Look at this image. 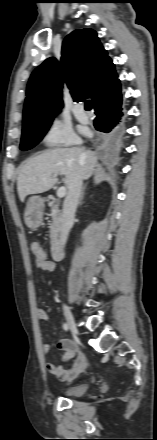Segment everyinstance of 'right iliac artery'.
<instances>
[{
    "mask_svg": "<svg viewBox=\"0 0 157 440\" xmlns=\"http://www.w3.org/2000/svg\"><path fill=\"white\" fill-rule=\"evenodd\" d=\"M63 329H64L65 331H68L69 328H68L67 323H64V324H63Z\"/></svg>",
    "mask_w": 157,
    "mask_h": 440,
    "instance_id": "82829eb1",
    "label": "right iliac artery"
}]
</instances>
